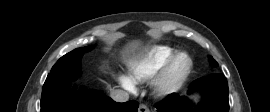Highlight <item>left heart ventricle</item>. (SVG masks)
Instances as JSON below:
<instances>
[{
	"mask_svg": "<svg viewBox=\"0 0 270 112\" xmlns=\"http://www.w3.org/2000/svg\"><path fill=\"white\" fill-rule=\"evenodd\" d=\"M187 64L188 59L186 56H179L172 65L170 75L172 77L179 75L186 68Z\"/></svg>",
	"mask_w": 270,
	"mask_h": 112,
	"instance_id": "b2bd125f",
	"label": "left heart ventricle"
}]
</instances>
